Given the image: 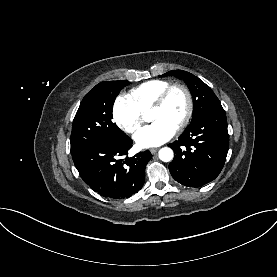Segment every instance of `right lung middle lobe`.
Here are the masks:
<instances>
[{
	"mask_svg": "<svg viewBox=\"0 0 277 277\" xmlns=\"http://www.w3.org/2000/svg\"><path fill=\"white\" fill-rule=\"evenodd\" d=\"M129 83L104 81L85 95L73 120L71 154L98 141H122L128 137L112 122V108L121 89Z\"/></svg>",
	"mask_w": 277,
	"mask_h": 277,
	"instance_id": "right-lung-middle-lobe-1",
	"label": "right lung middle lobe"
}]
</instances>
